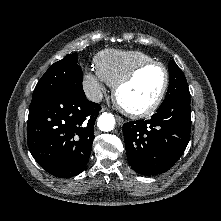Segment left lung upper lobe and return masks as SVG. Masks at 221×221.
<instances>
[{"mask_svg": "<svg viewBox=\"0 0 221 221\" xmlns=\"http://www.w3.org/2000/svg\"><path fill=\"white\" fill-rule=\"evenodd\" d=\"M169 75L170 83L164 101L171 99L179 93L189 91L184 73L173 60L169 63Z\"/></svg>", "mask_w": 221, "mask_h": 221, "instance_id": "obj_1", "label": "left lung upper lobe"}]
</instances>
